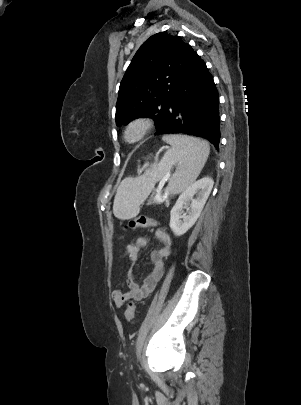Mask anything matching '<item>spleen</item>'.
Here are the masks:
<instances>
[{"label":"spleen","instance_id":"spleen-1","mask_svg":"<svg viewBox=\"0 0 301 405\" xmlns=\"http://www.w3.org/2000/svg\"><path fill=\"white\" fill-rule=\"evenodd\" d=\"M163 141L171 145L159 162L138 178H125L117 189L113 204L115 217L126 220L136 216L140 204L149 195L155 183L164 178L173 166L168 190L176 195L188 188L199 176L210 153L209 144L185 135H168Z\"/></svg>","mask_w":301,"mask_h":405}]
</instances>
